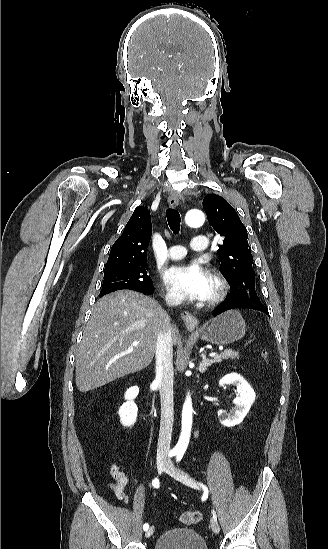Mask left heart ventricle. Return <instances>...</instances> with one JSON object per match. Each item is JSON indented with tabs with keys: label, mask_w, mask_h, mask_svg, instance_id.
I'll list each match as a JSON object with an SVG mask.
<instances>
[{
	"label": "left heart ventricle",
	"mask_w": 328,
	"mask_h": 549,
	"mask_svg": "<svg viewBox=\"0 0 328 549\" xmlns=\"http://www.w3.org/2000/svg\"><path fill=\"white\" fill-rule=\"evenodd\" d=\"M206 270H207V269H206ZM214 290H215V285H214V282L212 281L211 289H210V292H209L208 297H210V296L213 294ZM208 297H207V298H208Z\"/></svg>",
	"instance_id": "left-heart-ventricle-1"
}]
</instances>
